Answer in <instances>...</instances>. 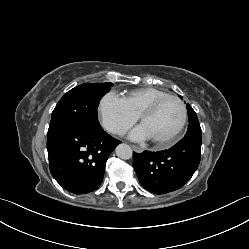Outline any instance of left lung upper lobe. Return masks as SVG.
Returning <instances> with one entry per match:
<instances>
[{
  "label": "left lung upper lobe",
  "mask_w": 249,
  "mask_h": 249,
  "mask_svg": "<svg viewBox=\"0 0 249 249\" xmlns=\"http://www.w3.org/2000/svg\"><path fill=\"white\" fill-rule=\"evenodd\" d=\"M179 97L182 99L181 96ZM187 110H188L189 124H188L187 133L185 134L184 137H189V136L201 137L202 131L195 111L192 109V107L189 104H187Z\"/></svg>",
  "instance_id": "obj_1"
}]
</instances>
